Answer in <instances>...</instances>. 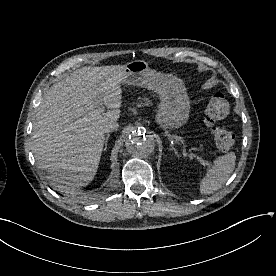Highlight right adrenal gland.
<instances>
[{
	"label": "right adrenal gland",
	"instance_id": "obj_1",
	"mask_svg": "<svg viewBox=\"0 0 276 276\" xmlns=\"http://www.w3.org/2000/svg\"><path fill=\"white\" fill-rule=\"evenodd\" d=\"M109 134L106 136V138H105V142H104V151H106V149H107V146H108V139H109Z\"/></svg>",
	"mask_w": 276,
	"mask_h": 276
}]
</instances>
